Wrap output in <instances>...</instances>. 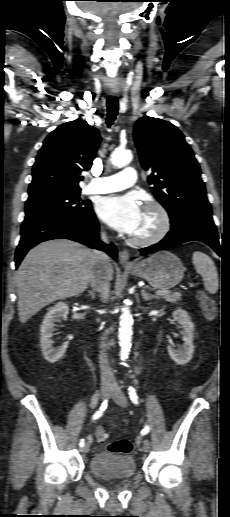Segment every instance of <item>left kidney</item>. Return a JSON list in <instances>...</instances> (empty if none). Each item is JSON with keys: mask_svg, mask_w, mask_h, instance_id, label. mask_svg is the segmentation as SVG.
I'll return each mask as SVG.
<instances>
[{"mask_svg": "<svg viewBox=\"0 0 230 517\" xmlns=\"http://www.w3.org/2000/svg\"><path fill=\"white\" fill-rule=\"evenodd\" d=\"M173 318L178 321L182 330L180 331L184 341L180 349H174L168 346V353L173 361L179 365L187 364L194 352L193 331L194 324L190 320V316L183 309H177L172 313Z\"/></svg>", "mask_w": 230, "mask_h": 517, "instance_id": "1", "label": "left kidney"}]
</instances>
